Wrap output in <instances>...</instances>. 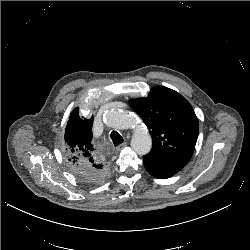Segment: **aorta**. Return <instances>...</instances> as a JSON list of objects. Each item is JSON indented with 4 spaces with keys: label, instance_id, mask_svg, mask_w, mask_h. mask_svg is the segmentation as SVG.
<instances>
[{
    "label": "aorta",
    "instance_id": "aorta-1",
    "mask_svg": "<svg viewBox=\"0 0 250 250\" xmlns=\"http://www.w3.org/2000/svg\"><path fill=\"white\" fill-rule=\"evenodd\" d=\"M107 126L115 129H127L135 127L138 123L135 115L118 110H109L104 116ZM132 149L139 155H146L152 147V139L146 128L136 129L131 139Z\"/></svg>",
    "mask_w": 250,
    "mask_h": 250
}]
</instances>
